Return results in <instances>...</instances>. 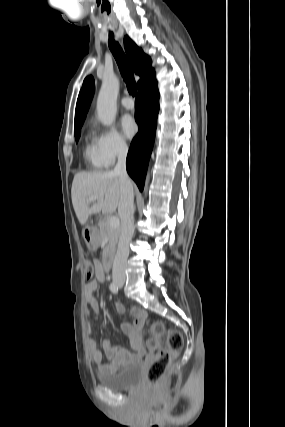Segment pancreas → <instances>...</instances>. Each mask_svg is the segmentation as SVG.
Here are the masks:
<instances>
[{
    "mask_svg": "<svg viewBox=\"0 0 285 427\" xmlns=\"http://www.w3.org/2000/svg\"><path fill=\"white\" fill-rule=\"evenodd\" d=\"M98 226V232L101 240H104L105 238L108 240L107 248H115L120 235V225L117 227H111L108 219L104 218L99 222Z\"/></svg>",
    "mask_w": 285,
    "mask_h": 427,
    "instance_id": "1",
    "label": "pancreas"
}]
</instances>
